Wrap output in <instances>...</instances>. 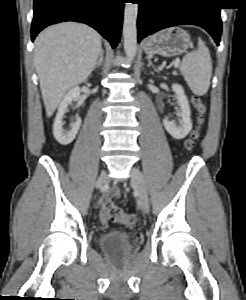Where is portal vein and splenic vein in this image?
Here are the masks:
<instances>
[{
    "label": "portal vein and splenic vein",
    "instance_id": "obj_1",
    "mask_svg": "<svg viewBox=\"0 0 246 300\" xmlns=\"http://www.w3.org/2000/svg\"><path fill=\"white\" fill-rule=\"evenodd\" d=\"M178 64H179V61L177 60V61H176V64H175V67H177V66H178Z\"/></svg>",
    "mask_w": 246,
    "mask_h": 300
}]
</instances>
